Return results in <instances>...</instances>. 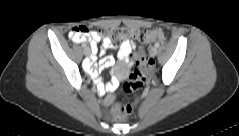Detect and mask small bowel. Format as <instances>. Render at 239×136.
Instances as JSON below:
<instances>
[{
  "instance_id": "obj_1",
  "label": "small bowel",
  "mask_w": 239,
  "mask_h": 136,
  "mask_svg": "<svg viewBox=\"0 0 239 136\" xmlns=\"http://www.w3.org/2000/svg\"><path fill=\"white\" fill-rule=\"evenodd\" d=\"M69 37L71 38V32L69 33ZM72 40L76 43H84L86 41H90L91 45L95 46L94 54H96L98 52L97 43L100 40L102 41V46L100 49L101 54H104L107 49H111L114 47L113 45H111L108 38L101 37L95 31H91L89 37L86 39H78V40L72 39ZM134 48H135V46L130 40H127V39L123 40L120 43L119 48H118V52H117L118 60L121 61L122 63L126 64L127 66H132V64H133L132 51L134 50ZM95 61H96V57L91 56L90 60L89 61L87 60L86 64H85V68L89 71V73L93 77H97L98 73H99L98 70L96 69ZM113 62H114L113 57H111V56L105 57L100 63V69L104 70V69L109 68L110 66H112ZM118 84H119L118 77L113 76L108 83L99 85V91L101 93H111L118 87ZM112 101H113V96L111 94L107 95L104 99V103L106 105H110L112 103Z\"/></svg>"
}]
</instances>
